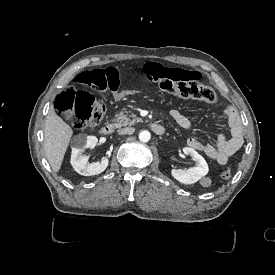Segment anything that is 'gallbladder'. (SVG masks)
<instances>
[{"label":"gallbladder","mask_w":275,"mask_h":275,"mask_svg":"<svg viewBox=\"0 0 275 275\" xmlns=\"http://www.w3.org/2000/svg\"><path fill=\"white\" fill-rule=\"evenodd\" d=\"M60 112L62 117L70 123H76L79 120V117L72 108H64L61 109Z\"/></svg>","instance_id":"obj_1"}]
</instances>
